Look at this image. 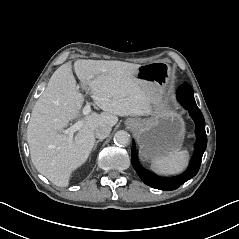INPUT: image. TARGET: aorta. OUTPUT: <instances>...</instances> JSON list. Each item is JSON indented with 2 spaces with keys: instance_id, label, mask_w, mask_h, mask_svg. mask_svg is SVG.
<instances>
[{
  "instance_id": "762f6f07",
  "label": "aorta",
  "mask_w": 239,
  "mask_h": 239,
  "mask_svg": "<svg viewBox=\"0 0 239 239\" xmlns=\"http://www.w3.org/2000/svg\"><path fill=\"white\" fill-rule=\"evenodd\" d=\"M114 141L119 146H127L130 144V135L127 131L119 130L115 133Z\"/></svg>"
}]
</instances>
